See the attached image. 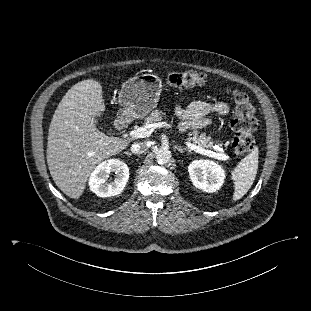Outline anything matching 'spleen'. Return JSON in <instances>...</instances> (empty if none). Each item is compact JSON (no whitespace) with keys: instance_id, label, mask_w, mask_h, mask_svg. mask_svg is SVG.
I'll return each mask as SVG.
<instances>
[{"instance_id":"obj_1","label":"spleen","mask_w":311,"mask_h":311,"mask_svg":"<svg viewBox=\"0 0 311 311\" xmlns=\"http://www.w3.org/2000/svg\"><path fill=\"white\" fill-rule=\"evenodd\" d=\"M258 170V148L254 147L246 157L234 168L232 179L234 181L233 200L241 199L251 188Z\"/></svg>"}]
</instances>
